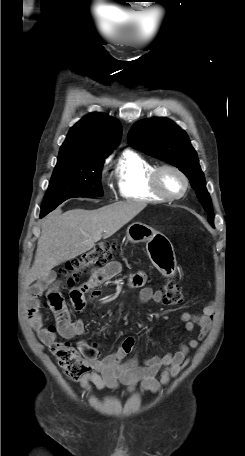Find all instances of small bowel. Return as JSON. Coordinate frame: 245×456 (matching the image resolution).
I'll use <instances>...</instances> for the list:
<instances>
[{
  "instance_id": "c3829d8e",
  "label": "small bowel",
  "mask_w": 245,
  "mask_h": 456,
  "mask_svg": "<svg viewBox=\"0 0 245 456\" xmlns=\"http://www.w3.org/2000/svg\"><path fill=\"white\" fill-rule=\"evenodd\" d=\"M121 269V264L118 261H110L103 267L94 268L86 282L70 293L71 301L75 307L81 310L85 295L105 281L117 276ZM53 281L54 279L50 275L33 284L29 290L26 306V315L31 327L37 332L40 340L47 345L55 339L56 335L55 332L43 327L42 315L39 312V297L51 286ZM146 281L147 275L144 271H138L129 277V285L132 288H141L138 300L141 303L162 302L164 296L162 291L145 286ZM99 296V291L91 293L93 299ZM48 298L56 315L58 334L68 339L83 335L84 322L81 319L71 321L66 303L56 288L49 290ZM215 311L214 302H209L204 306L201 314L184 312L181 315V321L185 329L188 332L199 329L198 339L191 338L185 343H180L175 352L148 358L142 365L139 364L136 356L125 361L127 355L133 352L135 348L136 341L132 336L125 338L114 353L103 358L100 357V351L96 344L79 340L77 347L91 367V371L80 379V386L86 393H91L93 388L102 391L104 389H117L120 385H124L129 393L133 392L137 385L140 386L142 392L157 393L162 386L169 383L170 378L177 376L189 363V350L197 348L199 341L207 336Z\"/></svg>"
}]
</instances>
